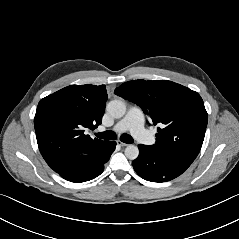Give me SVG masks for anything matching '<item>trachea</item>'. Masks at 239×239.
<instances>
[{"label": "trachea", "mask_w": 239, "mask_h": 239, "mask_svg": "<svg viewBox=\"0 0 239 239\" xmlns=\"http://www.w3.org/2000/svg\"><path fill=\"white\" fill-rule=\"evenodd\" d=\"M98 138L105 140H115L116 134L113 131L99 132L95 134ZM120 140L124 143L131 144L134 142L133 138L128 134H122Z\"/></svg>", "instance_id": "trachea-1"}]
</instances>
